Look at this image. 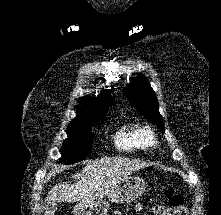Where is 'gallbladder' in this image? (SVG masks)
Listing matches in <instances>:
<instances>
[{
  "instance_id": "gallbladder-1",
  "label": "gallbladder",
  "mask_w": 221,
  "mask_h": 215,
  "mask_svg": "<svg viewBox=\"0 0 221 215\" xmlns=\"http://www.w3.org/2000/svg\"><path fill=\"white\" fill-rule=\"evenodd\" d=\"M45 215H54V213L57 210V205L56 204H47L45 206Z\"/></svg>"
}]
</instances>
